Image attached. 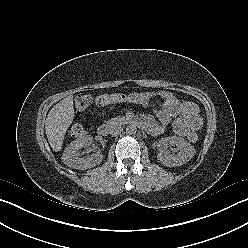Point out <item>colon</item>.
<instances>
[{"label": "colon", "mask_w": 248, "mask_h": 248, "mask_svg": "<svg viewBox=\"0 0 248 248\" xmlns=\"http://www.w3.org/2000/svg\"><path fill=\"white\" fill-rule=\"evenodd\" d=\"M125 100V94H103L96 98V104L104 106L111 103L123 102ZM92 103V98L89 95H80L75 100V108L78 113H83L88 109ZM85 134V129L80 124H74L69 130V136L72 138H80ZM188 140L192 143L198 140V134L193 132L188 137Z\"/></svg>", "instance_id": "5ec220e1"}]
</instances>
